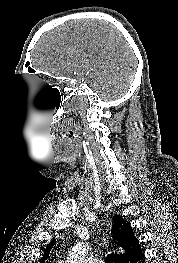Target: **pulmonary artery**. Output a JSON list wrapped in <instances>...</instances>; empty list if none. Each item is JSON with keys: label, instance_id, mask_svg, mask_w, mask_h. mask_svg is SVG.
Returning <instances> with one entry per match:
<instances>
[{"label": "pulmonary artery", "instance_id": "e3ab8cb5", "mask_svg": "<svg viewBox=\"0 0 178 263\" xmlns=\"http://www.w3.org/2000/svg\"><path fill=\"white\" fill-rule=\"evenodd\" d=\"M97 263H102V261H101V260H99V261H97Z\"/></svg>", "mask_w": 178, "mask_h": 263}]
</instances>
